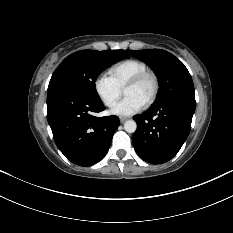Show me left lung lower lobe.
<instances>
[{
	"instance_id": "obj_1",
	"label": "left lung lower lobe",
	"mask_w": 233,
	"mask_h": 233,
	"mask_svg": "<svg viewBox=\"0 0 233 233\" xmlns=\"http://www.w3.org/2000/svg\"><path fill=\"white\" fill-rule=\"evenodd\" d=\"M195 108L194 101L177 98L135 116L138 128L132 141L138 156L152 164L172 159L189 135Z\"/></svg>"
}]
</instances>
